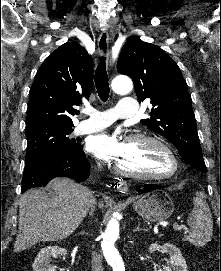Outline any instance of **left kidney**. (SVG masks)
I'll return each instance as SVG.
<instances>
[{
  "label": "left kidney",
  "instance_id": "5707ae66",
  "mask_svg": "<svg viewBox=\"0 0 221 271\" xmlns=\"http://www.w3.org/2000/svg\"><path fill=\"white\" fill-rule=\"evenodd\" d=\"M157 249L158 251H163V253H168L170 259H168L166 265H163V269L162 267H158V269H154V271H188L185 257H183L180 249H178L174 243H163V245H159V243L155 241V243L149 245L150 253H154Z\"/></svg>",
  "mask_w": 221,
  "mask_h": 271
}]
</instances>
